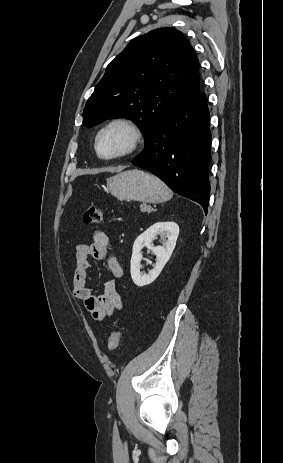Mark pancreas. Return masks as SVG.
<instances>
[{
	"mask_svg": "<svg viewBox=\"0 0 283 463\" xmlns=\"http://www.w3.org/2000/svg\"><path fill=\"white\" fill-rule=\"evenodd\" d=\"M140 210L142 212H148V213L153 211V209L149 205H146V204L141 205Z\"/></svg>",
	"mask_w": 283,
	"mask_h": 463,
	"instance_id": "1",
	"label": "pancreas"
}]
</instances>
